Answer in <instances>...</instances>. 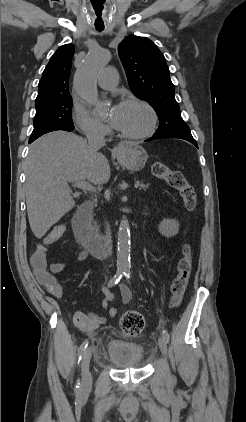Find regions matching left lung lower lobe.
<instances>
[{"label": "left lung lower lobe", "instance_id": "0a47b994", "mask_svg": "<svg viewBox=\"0 0 246 422\" xmlns=\"http://www.w3.org/2000/svg\"><path fill=\"white\" fill-rule=\"evenodd\" d=\"M164 138H180V139H184L187 140L189 142H191L193 145L197 146L196 141L194 140V138L192 137V135H153V137L147 139L146 141H151V140H156V139H164Z\"/></svg>", "mask_w": 246, "mask_h": 422}]
</instances>
